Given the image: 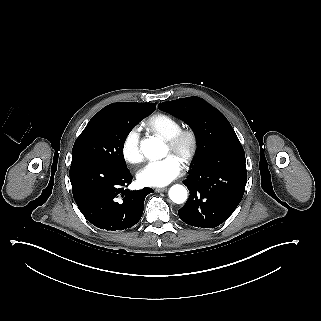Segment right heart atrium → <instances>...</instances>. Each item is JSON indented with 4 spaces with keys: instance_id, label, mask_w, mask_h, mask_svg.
<instances>
[{
    "instance_id": "d8ad5b80",
    "label": "right heart atrium",
    "mask_w": 321,
    "mask_h": 321,
    "mask_svg": "<svg viewBox=\"0 0 321 321\" xmlns=\"http://www.w3.org/2000/svg\"><path fill=\"white\" fill-rule=\"evenodd\" d=\"M121 154L128 163H137L143 159L139 127H132L126 132L121 142Z\"/></svg>"
}]
</instances>
